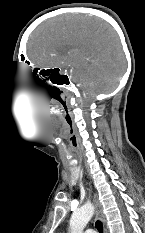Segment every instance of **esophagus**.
Segmentation results:
<instances>
[{
    "mask_svg": "<svg viewBox=\"0 0 145 233\" xmlns=\"http://www.w3.org/2000/svg\"><path fill=\"white\" fill-rule=\"evenodd\" d=\"M93 202L96 208V216L98 217V219H100L103 224L105 225V220H104V215H103V210H102V206L101 203L98 200V196L97 194L93 195ZM104 233H108L107 228L104 226Z\"/></svg>",
    "mask_w": 145,
    "mask_h": 233,
    "instance_id": "34e87169",
    "label": "esophagus"
}]
</instances>
